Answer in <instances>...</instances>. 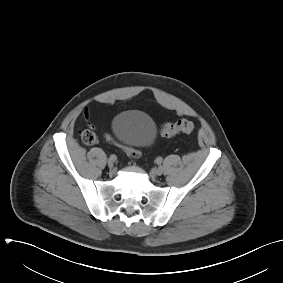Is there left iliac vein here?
Returning <instances> with one entry per match:
<instances>
[{
    "mask_svg": "<svg viewBox=\"0 0 283 283\" xmlns=\"http://www.w3.org/2000/svg\"><path fill=\"white\" fill-rule=\"evenodd\" d=\"M163 171H164L163 167H162V166H159V167H157V168L155 169V174L158 175V176H160V175L163 174Z\"/></svg>",
    "mask_w": 283,
    "mask_h": 283,
    "instance_id": "obj_1",
    "label": "left iliac vein"
}]
</instances>
